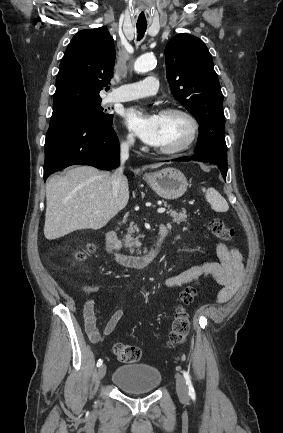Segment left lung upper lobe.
Returning <instances> with one entry per match:
<instances>
[{
  "label": "left lung upper lobe",
  "instance_id": "obj_1",
  "mask_svg": "<svg viewBox=\"0 0 283 433\" xmlns=\"http://www.w3.org/2000/svg\"><path fill=\"white\" fill-rule=\"evenodd\" d=\"M165 57L172 94L196 118L200 131L217 128L225 133L223 95L206 45L181 33L167 43Z\"/></svg>",
  "mask_w": 283,
  "mask_h": 433
}]
</instances>
